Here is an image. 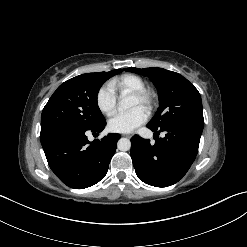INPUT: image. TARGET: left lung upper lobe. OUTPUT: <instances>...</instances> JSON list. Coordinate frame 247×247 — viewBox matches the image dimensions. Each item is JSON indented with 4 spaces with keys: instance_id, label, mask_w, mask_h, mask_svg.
<instances>
[{
    "instance_id": "obj_1",
    "label": "left lung upper lobe",
    "mask_w": 247,
    "mask_h": 247,
    "mask_svg": "<svg viewBox=\"0 0 247 247\" xmlns=\"http://www.w3.org/2000/svg\"><path fill=\"white\" fill-rule=\"evenodd\" d=\"M124 70L148 76L158 90L160 106L149 125L163 127L178 120L204 125L201 96L182 75L162 68Z\"/></svg>"
}]
</instances>
